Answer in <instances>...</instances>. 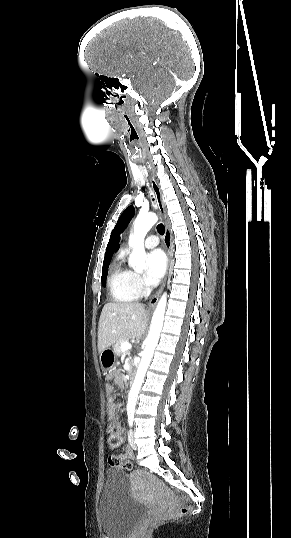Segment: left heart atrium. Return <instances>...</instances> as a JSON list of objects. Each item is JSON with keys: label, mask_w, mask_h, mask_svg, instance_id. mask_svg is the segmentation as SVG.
<instances>
[{"label": "left heart atrium", "mask_w": 291, "mask_h": 538, "mask_svg": "<svg viewBox=\"0 0 291 538\" xmlns=\"http://www.w3.org/2000/svg\"><path fill=\"white\" fill-rule=\"evenodd\" d=\"M166 264V256L161 249H155L149 252L145 270V278L147 282L153 284L159 281L164 275Z\"/></svg>", "instance_id": "obj_1"}]
</instances>
